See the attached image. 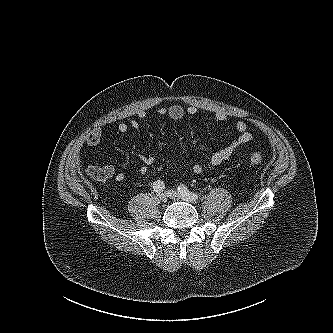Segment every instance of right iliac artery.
<instances>
[{"label": "right iliac artery", "instance_id": "82829eb1", "mask_svg": "<svg viewBox=\"0 0 333 333\" xmlns=\"http://www.w3.org/2000/svg\"><path fill=\"white\" fill-rule=\"evenodd\" d=\"M153 190L157 193L162 192L165 189V184L161 180H157L152 185Z\"/></svg>", "mask_w": 333, "mask_h": 333}]
</instances>
